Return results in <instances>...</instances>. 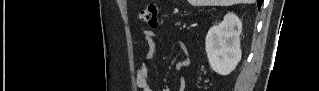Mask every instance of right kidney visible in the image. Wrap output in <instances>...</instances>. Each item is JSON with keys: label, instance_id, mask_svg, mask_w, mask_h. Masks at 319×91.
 <instances>
[{"label": "right kidney", "instance_id": "ca27d5eb", "mask_svg": "<svg viewBox=\"0 0 319 91\" xmlns=\"http://www.w3.org/2000/svg\"><path fill=\"white\" fill-rule=\"evenodd\" d=\"M241 30L242 23L234 13L226 14L219 25L209 29L205 40L206 53L216 73L230 74L241 60Z\"/></svg>", "mask_w": 319, "mask_h": 91}]
</instances>
